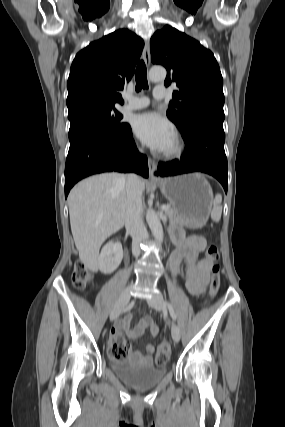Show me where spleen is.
<instances>
[{
    "instance_id": "1",
    "label": "spleen",
    "mask_w": 285,
    "mask_h": 427,
    "mask_svg": "<svg viewBox=\"0 0 285 427\" xmlns=\"http://www.w3.org/2000/svg\"><path fill=\"white\" fill-rule=\"evenodd\" d=\"M222 196L220 194H217L214 198V202H213V209L211 211V219L214 222H219L221 219V214H222Z\"/></svg>"
}]
</instances>
